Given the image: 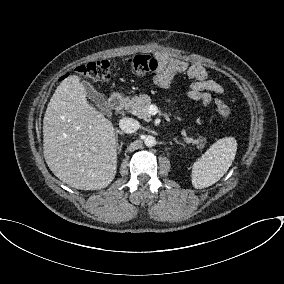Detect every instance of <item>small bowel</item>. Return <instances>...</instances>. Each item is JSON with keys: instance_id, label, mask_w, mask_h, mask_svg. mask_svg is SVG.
I'll list each match as a JSON object with an SVG mask.
<instances>
[{"instance_id": "small-bowel-1", "label": "small bowel", "mask_w": 284, "mask_h": 284, "mask_svg": "<svg viewBox=\"0 0 284 284\" xmlns=\"http://www.w3.org/2000/svg\"><path fill=\"white\" fill-rule=\"evenodd\" d=\"M159 67L153 77L154 84L160 88L169 87L172 79L183 74L194 80L187 90L190 99L208 107L211 103V94H222V86L215 80L209 79L206 68L199 63H188L187 61L171 57L163 53L157 54Z\"/></svg>"}]
</instances>
